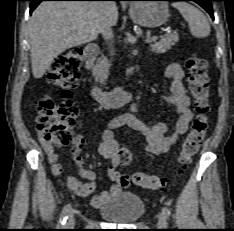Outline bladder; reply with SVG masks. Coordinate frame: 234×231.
Here are the masks:
<instances>
[{
  "mask_svg": "<svg viewBox=\"0 0 234 231\" xmlns=\"http://www.w3.org/2000/svg\"><path fill=\"white\" fill-rule=\"evenodd\" d=\"M146 206L143 200L133 193H119L106 202L99 210L109 222L126 224L137 221L145 214Z\"/></svg>",
  "mask_w": 234,
  "mask_h": 231,
  "instance_id": "bladder-1",
  "label": "bladder"
}]
</instances>
